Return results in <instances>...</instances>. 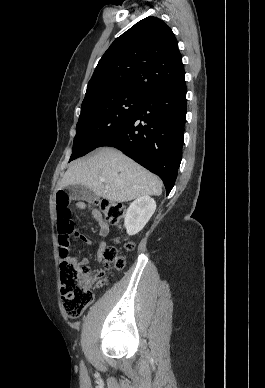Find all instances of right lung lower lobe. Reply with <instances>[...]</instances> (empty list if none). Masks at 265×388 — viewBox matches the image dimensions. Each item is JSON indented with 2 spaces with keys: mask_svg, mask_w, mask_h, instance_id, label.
Listing matches in <instances>:
<instances>
[{
  "mask_svg": "<svg viewBox=\"0 0 265 388\" xmlns=\"http://www.w3.org/2000/svg\"><path fill=\"white\" fill-rule=\"evenodd\" d=\"M186 92L184 77L150 90L137 110L98 145L115 147L157 174L166 195L182 159Z\"/></svg>",
  "mask_w": 265,
  "mask_h": 388,
  "instance_id": "1",
  "label": "right lung lower lobe"
}]
</instances>
